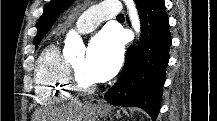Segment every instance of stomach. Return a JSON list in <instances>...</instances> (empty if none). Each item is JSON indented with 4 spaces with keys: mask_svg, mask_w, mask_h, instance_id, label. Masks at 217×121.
<instances>
[{
    "mask_svg": "<svg viewBox=\"0 0 217 121\" xmlns=\"http://www.w3.org/2000/svg\"><path fill=\"white\" fill-rule=\"evenodd\" d=\"M95 113L97 116L107 117L110 116L111 108L109 106H97Z\"/></svg>",
    "mask_w": 217,
    "mask_h": 121,
    "instance_id": "obj_1",
    "label": "stomach"
}]
</instances>
